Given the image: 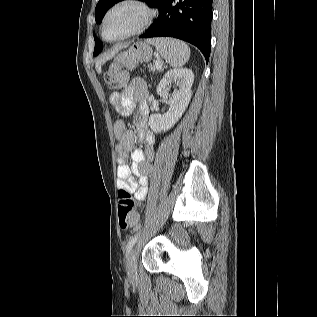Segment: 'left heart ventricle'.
I'll return each instance as SVG.
<instances>
[{
    "label": "left heart ventricle",
    "instance_id": "left-heart-ventricle-1",
    "mask_svg": "<svg viewBox=\"0 0 317 317\" xmlns=\"http://www.w3.org/2000/svg\"><path fill=\"white\" fill-rule=\"evenodd\" d=\"M143 19V12L135 6H122L107 19L105 36L114 39L134 29Z\"/></svg>",
    "mask_w": 317,
    "mask_h": 317
}]
</instances>
